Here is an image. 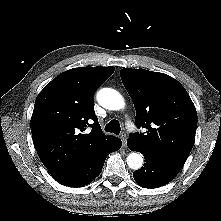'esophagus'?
<instances>
[{
    "instance_id": "obj_1",
    "label": "esophagus",
    "mask_w": 221,
    "mask_h": 221,
    "mask_svg": "<svg viewBox=\"0 0 221 221\" xmlns=\"http://www.w3.org/2000/svg\"><path fill=\"white\" fill-rule=\"evenodd\" d=\"M120 138L122 140L123 143V147L126 148L127 147V135L125 132L121 133Z\"/></svg>"
}]
</instances>
